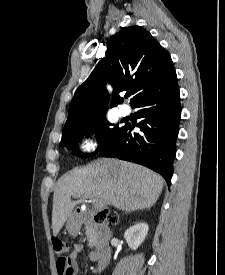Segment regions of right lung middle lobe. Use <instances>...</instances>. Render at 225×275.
I'll use <instances>...</instances> for the list:
<instances>
[{
    "label": "right lung middle lobe",
    "mask_w": 225,
    "mask_h": 275,
    "mask_svg": "<svg viewBox=\"0 0 225 275\" xmlns=\"http://www.w3.org/2000/svg\"><path fill=\"white\" fill-rule=\"evenodd\" d=\"M123 129L118 124L109 123L105 118V113H99L92 117L83 119L75 124L64 127L60 146H66L68 149H73V154L80 157H88L92 154H83L77 152L74 145L85 135L91 132H97V138L100 146L97 151H100L107 143L113 140Z\"/></svg>",
    "instance_id": "1"
}]
</instances>
